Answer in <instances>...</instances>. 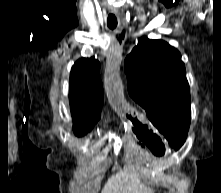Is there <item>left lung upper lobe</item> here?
Here are the masks:
<instances>
[{"label": "left lung upper lobe", "mask_w": 221, "mask_h": 193, "mask_svg": "<svg viewBox=\"0 0 221 193\" xmlns=\"http://www.w3.org/2000/svg\"><path fill=\"white\" fill-rule=\"evenodd\" d=\"M124 67L130 96L178 150L191 122L190 88L179 51L165 41L142 38Z\"/></svg>", "instance_id": "obj_1"}]
</instances>
